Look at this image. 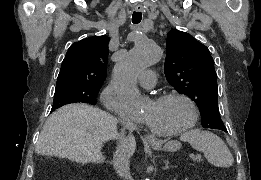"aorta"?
<instances>
[{
	"mask_svg": "<svg viewBox=\"0 0 261 180\" xmlns=\"http://www.w3.org/2000/svg\"><path fill=\"white\" fill-rule=\"evenodd\" d=\"M162 58L161 49L150 41L138 42L116 63L113 81L122 105L130 111L140 110L144 99L137 89L139 73Z\"/></svg>",
	"mask_w": 261,
	"mask_h": 180,
	"instance_id": "1",
	"label": "aorta"
}]
</instances>
